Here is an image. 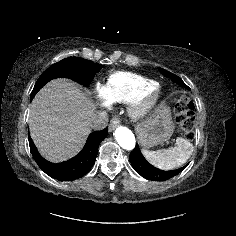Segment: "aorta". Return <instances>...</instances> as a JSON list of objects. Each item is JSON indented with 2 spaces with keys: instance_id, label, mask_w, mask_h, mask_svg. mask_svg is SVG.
<instances>
[{
  "instance_id": "1",
  "label": "aorta",
  "mask_w": 236,
  "mask_h": 236,
  "mask_svg": "<svg viewBox=\"0 0 236 236\" xmlns=\"http://www.w3.org/2000/svg\"><path fill=\"white\" fill-rule=\"evenodd\" d=\"M118 144L125 150H132L135 147V136L130 129L119 126L114 132Z\"/></svg>"
}]
</instances>
